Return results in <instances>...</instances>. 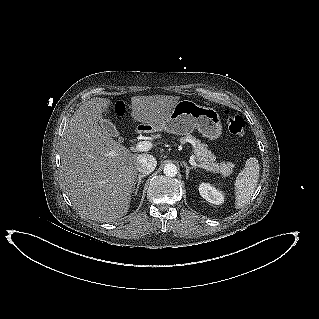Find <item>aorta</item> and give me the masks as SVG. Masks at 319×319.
I'll list each match as a JSON object with an SVG mask.
<instances>
[{"label":"aorta","mask_w":319,"mask_h":319,"mask_svg":"<svg viewBox=\"0 0 319 319\" xmlns=\"http://www.w3.org/2000/svg\"><path fill=\"white\" fill-rule=\"evenodd\" d=\"M163 171L168 177H175L177 175V167L172 163L166 164Z\"/></svg>","instance_id":"obj_1"}]
</instances>
